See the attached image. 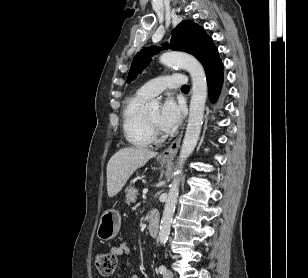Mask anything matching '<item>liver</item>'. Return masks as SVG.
<instances>
[{
  "label": "liver",
  "instance_id": "6515ba94",
  "mask_svg": "<svg viewBox=\"0 0 308 278\" xmlns=\"http://www.w3.org/2000/svg\"><path fill=\"white\" fill-rule=\"evenodd\" d=\"M156 155L157 152L141 147L122 148L116 152L107 164L108 196L117 195L130 176Z\"/></svg>",
  "mask_w": 308,
  "mask_h": 278
}]
</instances>
